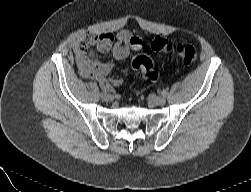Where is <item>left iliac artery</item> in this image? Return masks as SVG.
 <instances>
[{"mask_svg":"<svg viewBox=\"0 0 251 192\" xmlns=\"http://www.w3.org/2000/svg\"><path fill=\"white\" fill-rule=\"evenodd\" d=\"M167 91L166 90H163L162 92H161V94L163 95V96H166L167 95Z\"/></svg>","mask_w":251,"mask_h":192,"instance_id":"left-iliac-artery-1","label":"left iliac artery"}]
</instances>
